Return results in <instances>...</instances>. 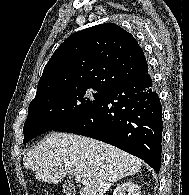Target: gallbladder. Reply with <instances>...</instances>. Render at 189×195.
<instances>
[{
    "label": "gallbladder",
    "mask_w": 189,
    "mask_h": 195,
    "mask_svg": "<svg viewBox=\"0 0 189 195\" xmlns=\"http://www.w3.org/2000/svg\"><path fill=\"white\" fill-rule=\"evenodd\" d=\"M62 188H63V192L65 193V195H74V190L69 185L64 184Z\"/></svg>",
    "instance_id": "1"
}]
</instances>
